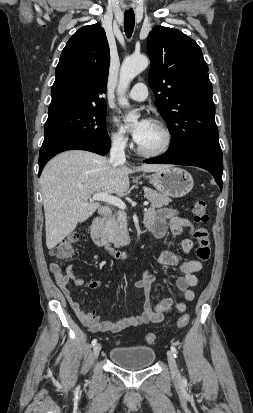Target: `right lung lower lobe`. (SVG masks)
I'll use <instances>...</instances> for the list:
<instances>
[{"label": "right lung lower lobe", "instance_id": "1", "mask_svg": "<svg viewBox=\"0 0 253 413\" xmlns=\"http://www.w3.org/2000/svg\"><path fill=\"white\" fill-rule=\"evenodd\" d=\"M110 138L105 136L103 138H96L91 140L83 139H64L58 140L46 145H42L39 154V174H41L45 164L56 154L67 150H86L105 155L110 148Z\"/></svg>", "mask_w": 253, "mask_h": 413}]
</instances>
